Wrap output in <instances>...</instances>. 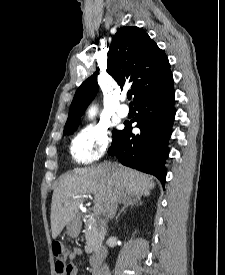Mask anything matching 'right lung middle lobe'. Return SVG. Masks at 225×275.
Wrapping results in <instances>:
<instances>
[{"instance_id": "1", "label": "right lung middle lobe", "mask_w": 225, "mask_h": 275, "mask_svg": "<svg viewBox=\"0 0 225 275\" xmlns=\"http://www.w3.org/2000/svg\"><path fill=\"white\" fill-rule=\"evenodd\" d=\"M79 123L80 122L75 123L73 125L66 126L65 129H64V134H67L69 132L72 133L73 131H75V129L77 128V126L79 125ZM118 132L115 131V130L113 131V138L117 135Z\"/></svg>"}]
</instances>
